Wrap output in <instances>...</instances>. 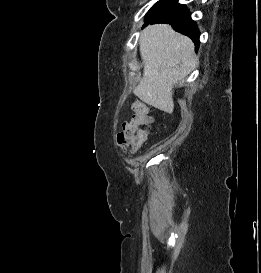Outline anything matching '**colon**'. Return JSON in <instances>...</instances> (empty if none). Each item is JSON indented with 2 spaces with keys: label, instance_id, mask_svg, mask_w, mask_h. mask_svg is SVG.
Listing matches in <instances>:
<instances>
[{
  "label": "colon",
  "instance_id": "colon-1",
  "mask_svg": "<svg viewBox=\"0 0 261 273\" xmlns=\"http://www.w3.org/2000/svg\"><path fill=\"white\" fill-rule=\"evenodd\" d=\"M132 110V120L117 134L118 145L128 152H136L146 142L148 131L144 127L150 118L148 107L140 101L133 103Z\"/></svg>",
  "mask_w": 261,
  "mask_h": 273
}]
</instances>
